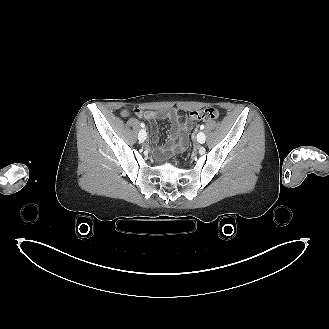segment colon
<instances>
[{"label": "colon", "mask_w": 329, "mask_h": 329, "mask_svg": "<svg viewBox=\"0 0 329 329\" xmlns=\"http://www.w3.org/2000/svg\"><path fill=\"white\" fill-rule=\"evenodd\" d=\"M124 116H127L128 113L124 112ZM192 119L197 121H209L213 119H217L219 117V112L214 108H205L198 111H193L190 113Z\"/></svg>", "instance_id": "5ec220e1"}]
</instances>
